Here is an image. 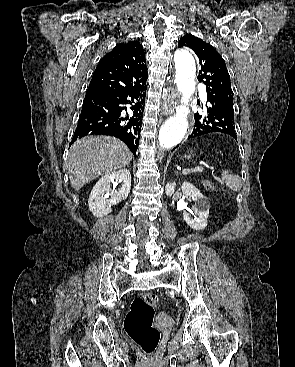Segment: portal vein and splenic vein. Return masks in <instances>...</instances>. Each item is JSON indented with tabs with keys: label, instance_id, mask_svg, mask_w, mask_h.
<instances>
[{
	"label": "portal vein and splenic vein",
	"instance_id": "18ae733b",
	"mask_svg": "<svg viewBox=\"0 0 295 367\" xmlns=\"http://www.w3.org/2000/svg\"><path fill=\"white\" fill-rule=\"evenodd\" d=\"M202 173L203 172V168L202 167H195V168H192V169H185L182 171V174L184 175H187V174H190V173Z\"/></svg>",
	"mask_w": 295,
	"mask_h": 367
}]
</instances>
